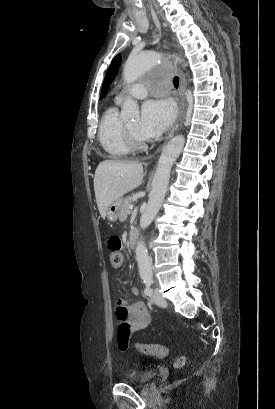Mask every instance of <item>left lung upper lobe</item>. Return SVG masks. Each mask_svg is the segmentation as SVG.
Masks as SVG:
<instances>
[{
	"label": "left lung upper lobe",
	"instance_id": "1",
	"mask_svg": "<svg viewBox=\"0 0 275 409\" xmlns=\"http://www.w3.org/2000/svg\"><path fill=\"white\" fill-rule=\"evenodd\" d=\"M120 63H121V55L118 54L116 57H114V59L111 62L110 67L107 70V73H106V76L103 82V86H102L101 98H103L108 92L110 84L112 83L113 79L117 75Z\"/></svg>",
	"mask_w": 275,
	"mask_h": 409
}]
</instances>
